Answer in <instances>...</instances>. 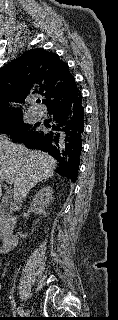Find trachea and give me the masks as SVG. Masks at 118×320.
<instances>
[{
  "label": "trachea",
  "mask_w": 118,
  "mask_h": 320,
  "mask_svg": "<svg viewBox=\"0 0 118 320\" xmlns=\"http://www.w3.org/2000/svg\"><path fill=\"white\" fill-rule=\"evenodd\" d=\"M37 103H40V100H37Z\"/></svg>",
  "instance_id": "obj_1"
}]
</instances>
